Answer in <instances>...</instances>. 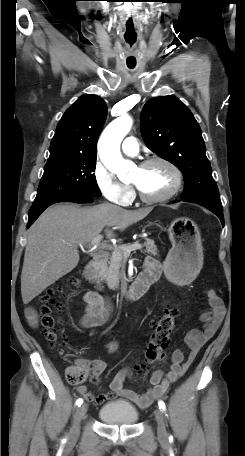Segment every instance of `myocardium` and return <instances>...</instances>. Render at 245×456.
<instances>
[{
	"label": "myocardium",
	"instance_id": "1",
	"mask_svg": "<svg viewBox=\"0 0 245 456\" xmlns=\"http://www.w3.org/2000/svg\"><path fill=\"white\" fill-rule=\"evenodd\" d=\"M155 163H161V164L166 165L173 172L175 181H174V185L167 193L160 195V196H155V197L147 196L146 194H144L141 191V189L137 185L133 184L140 200L145 203H150V204L161 203V202L170 200L171 198H173L174 196H176L178 194V192L180 191L182 184H183L182 171L175 163H173L172 161H170L167 158L159 157V156L150 157V158H147V159L143 160L142 162H140L138 167L145 168V167L150 166Z\"/></svg>",
	"mask_w": 245,
	"mask_h": 456
}]
</instances>
